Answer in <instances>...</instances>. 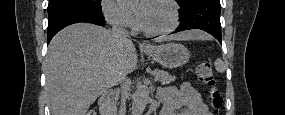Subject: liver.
<instances>
[{"mask_svg": "<svg viewBox=\"0 0 285 115\" xmlns=\"http://www.w3.org/2000/svg\"><path fill=\"white\" fill-rule=\"evenodd\" d=\"M207 37L191 30L173 39ZM137 62L135 46L129 39L117 40L109 30L88 23L64 28L51 40L45 58L46 92L52 115H85L90 105L116 83L115 73H131Z\"/></svg>", "mask_w": 285, "mask_h": 115, "instance_id": "liver-1", "label": "liver"}]
</instances>
